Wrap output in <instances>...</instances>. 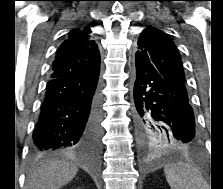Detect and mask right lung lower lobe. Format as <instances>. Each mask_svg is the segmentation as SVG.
Returning a JSON list of instances; mask_svg holds the SVG:
<instances>
[{
    "label": "right lung lower lobe",
    "mask_w": 223,
    "mask_h": 189,
    "mask_svg": "<svg viewBox=\"0 0 223 189\" xmlns=\"http://www.w3.org/2000/svg\"><path fill=\"white\" fill-rule=\"evenodd\" d=\"M99 70L82 77L48 81L33 132L32 152L54 153L84 147L100 148Z\"/></svg>",
    "instance_id": "1"
}]
</instances>
